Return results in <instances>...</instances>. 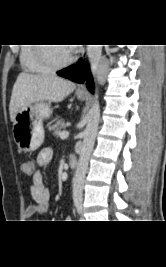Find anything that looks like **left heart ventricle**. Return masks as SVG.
<instances>
[{
  "instance_id": "1",
  "label": "left heart ventricle",
  "mask_w": 166,
  "mask_h": 267,
  "mask_svg": "<svg viewBox=\"0 0 166 267\" xmlns=\"http://www.w3.org/2000/svg\"><path fill=\"white\" fill-rule=\"evenodd\" d=\"M49 51L57 62H64L71 56L72 52L67 46H49Z\"/></svg>"
}]
</instances>
